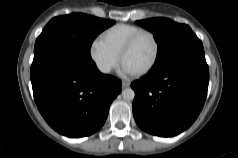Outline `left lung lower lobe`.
Segmentation results:
<instances>
[{"mask_svg":"<svg viewBox=\"0 0 238 158\" xmlns=\"http://www.w3.org/2000/svg\"><path fill=\"white\" fill-rule=\"evenodd\" d=\"M209 69L203 46L186 49L131 84L133 116L147 133L171 137L186 130L204 105Z\"/></svg>","mask_w":238,"mask_h":158,"instance_id":"obj_1","label":"left lung lower lobe"}]
</instances>
